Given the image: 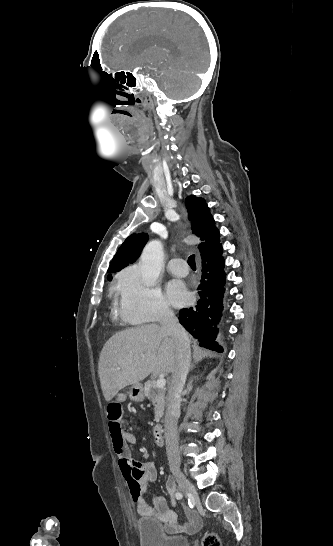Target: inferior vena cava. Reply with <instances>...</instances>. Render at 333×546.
<instances>
[{
  "mask_svg": "<svg viewBox=\"0 0 333 546\" xmlns=\"http://www.w3.org/2000/svg\"><path fill=\"white\" fill-rule=\"evenodd\" d=\"M161 331L171 336L175 342L177 363L172 372L167 394V409L165 415L166 452L169 466L177 469L180 466L177 421L180 416L181 393L189 372L191 363L190 341L187 332L180 325L173 311L165 309L162 313Z\"/></svg>",
  "mask_w": 333,
  "mask_h": 546,
  "instance_id": "602c4592",
  "label": "inferior vena cava"
}]
</instances>
